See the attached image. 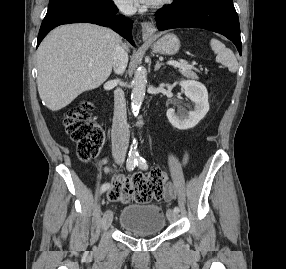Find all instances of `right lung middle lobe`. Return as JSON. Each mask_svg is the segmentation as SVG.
<instances>
[{"label": "right lung middle lobe", "instance_id": "dd1d6c3e", "mask_svg": "<svg viewBox=\"0 0 286 269\" xmlns=\"http://www.w3.org/2000/svg\"><path fill=\"white\" fill-rule=\"evenodd\" d=\"M77 3H87L105 10L114 6L112 0H50L47 12Z\"/></svg>", "mask_w": 286, "mask_h": 269}]
</instances>
